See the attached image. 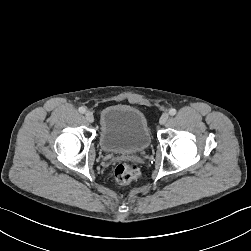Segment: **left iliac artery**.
<instances>
[{"label":"left iliac artery","instance_id":"left-iliac-artery-1","mask_svg":"<svg viewBox=\"0 0 251 251\" xmlns=\"http://www.w3.org/2000/svg\"><path fill=\"white\" fill-rule=\"evenodd\" d=\"M169 114H170L171 116H174V115L176 114V109L171 108V109L169 110Z\"/></svg>","mask_w":251,"mask_h":251}]
</instances>
